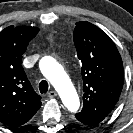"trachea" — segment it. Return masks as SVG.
Listing matches in <instances>:
<instances>
[{"label": "trachea", "instance_id": "obj_1", "mask_svg": "<svg viewBox=\"0 0 133 133\" xmlns=\"http://www.w3.org/2000/svg\"><path fill=\"white\" fill-rule=\"evenodd\" d=\"M48 88H49V85H48V82L45 81V80H42L40 83H39V90H40V93L44 94L48 91Z\"/></svg>", "mask_w": 133, "mask_h": 133}]
</instances>
